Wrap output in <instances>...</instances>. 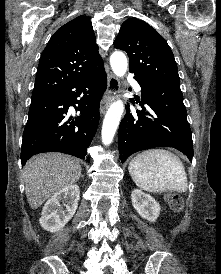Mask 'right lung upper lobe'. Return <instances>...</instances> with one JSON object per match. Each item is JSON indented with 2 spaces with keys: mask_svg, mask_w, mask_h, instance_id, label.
<instances>
[{
  "mask_svg": "<svg viewBox=\"0 0 221 274\" xmlns=\"http://www.w3.org/2000/svg\"><path fill=\"white\" fill-rule=\"evenodd\" d=\"M104 68L92 23L79 16L60 27L40 57L32 98L50 94Z\"/></svg>",
  "mask_w": 221,
  "mask_h": 274,
  "instance_id": "cb5924a9",
  "label": "right lung upper lobe"
}]
</instances>
